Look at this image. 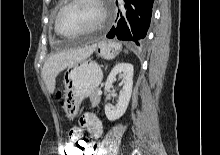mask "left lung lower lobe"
Returning <instances> with one entry per match:
<instances>
[{
    "instance_id": "obj_1",
    "label": "left lung lower lobe",
    "mask_w": 220,
    "mask_h": 155,
    "mask_svg": "<svg viewBox=\"0 0 220 155\" xmlns=\"http://www.w3.org/2000/svg\"><path fill=\"white\" fill-rule=\"evenodd\" d=\"M126 2L125 8H127V20L121 18L118 21L117 28L112 27L107 34L108 38H113L117 36L118 39L124 41H130L137 46H143L144 38L148 31L152 7L154 0H128L134 5V9L128 6Z\"/></svg>"
}]
</instances>
